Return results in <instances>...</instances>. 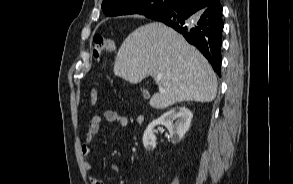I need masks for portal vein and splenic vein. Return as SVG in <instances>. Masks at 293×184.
I'll return each mask as SVG.
<instances>
[{"label": "portal vein and splenic vein", "instance_id": "18ae733b", "mask_svg": "<svg viewBox=\"0 0 293 184\" xmlns=\"http://www.w3.org/2000/svg\"><path fill=\"white\" fill-rule=\"evenodd\" d=\"M161 78V75H158L157 79L159 80ZM161 92H165L164 89H160Z\"/></svg>", "mask_w": 293, "mask_h": 184}]
</instances>
